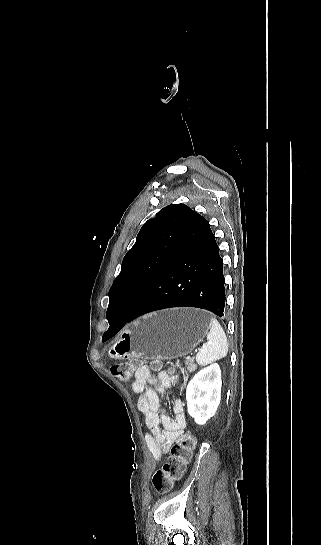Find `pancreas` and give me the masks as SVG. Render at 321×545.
<instances>
[{"label":"pancreas","instance_id":"pancreas-1","mask_svg":"<svg viewBox=\"0 0 321 545\" xmlns=\"http://www.w3.org/2000/svg\"><path fill=\"white\" fill-rule=\"evenodd\" d=\"M185 365L187 367V371H196L197 365H194V359H188V361H185Z\"/></svg>","mask_w":321,"mask_h":545}]
</instances>
